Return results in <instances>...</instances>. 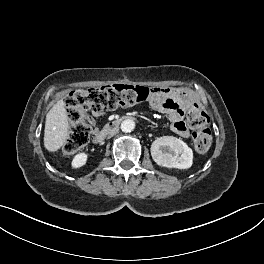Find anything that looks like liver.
Here are the masks:
<instances>
[{"mask_svg":"<svg viewBox=\"0 0 264 264\" xmlns=\"http://www.w3.org/2000/svg\"><path fill=\"white\" fill-rule=\"evenodd\" d=\"M64 101L61 99L53 105L46 115L44 130V147L49 152L60 149L68 137V118Z\"/></svg>","mask_w":264,"mask_h":264,"instance_id":"liver-1","label":"liver"}]
</instances>
